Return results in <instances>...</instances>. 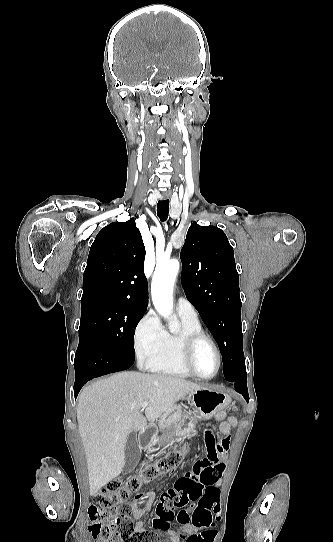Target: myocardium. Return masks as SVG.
<instances>
[{
  "label": "myocardium",
  "instance_id": "myocardium-1",
  "mask_svg": "<svg viewBox=\"0 0 333 542\" xmlns=\"http://www.w3.org/2000/svg\"><path fill=\"white\" fill-rule=\"evenodd\" d=\"M202 342H208L213 348L216 355L217 368L214 374H212L211 376H203L199 374L193 367V355L195 349ZM181 360L184 368L190 375L205 380L213 379L219 373L222 366V356L217 343L210 336L206 335L203 332L190 334L184 338L181 347Z\"/></svg>",
  "mask_w": 333,
  "mask_h": 542
}]
</instances>
